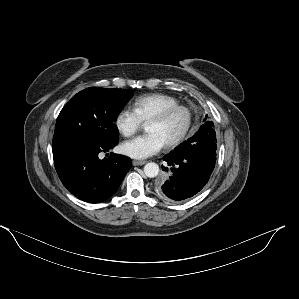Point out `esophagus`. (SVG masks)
Returning a JSON list of instances; mask_svg holds the SVG:
<instances>
[{"label":"esophagus","instance_id":"1","mask_svg":"<svg viewBox=\"0 0 299 299\" xmlns=\"http://www.w3.org/2000/svg\"><path fill=\"white\" fill-rule=\"evenodd\" d=\"M147 161L145 160H133L132 164L133 166H140V165H144Z\"/></svg>","mask_w":299,"mask_h":299}]
</instances>
